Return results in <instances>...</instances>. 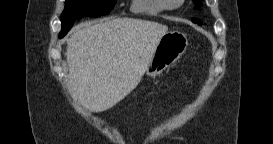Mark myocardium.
I'll return each instance as SVG.
<instances>
[{
  "instance_id": "myocardium-1",
  "label": "myocardium",
  "mask_w": 273,
  "mask_h": 144,
  "mask_svg": "<svg viewBox=\"0 0 273 144\" xmlns=\"http://www.w3.org/2000/svg\"><path fill=\"white\" fill-rule=\"evenodd\" d=\"M181 0H179V2H180ZM162 2H163V6L165 7V8H169L170 6H171V2H176V0H162Z\"/></svg>"
}]
</instances>
